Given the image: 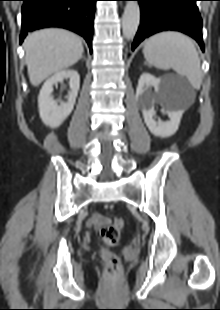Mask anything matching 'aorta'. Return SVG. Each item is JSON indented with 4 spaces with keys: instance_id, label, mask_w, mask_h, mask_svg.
Segmentation results:
<instances>
[{
    "instance_id": "1",
    "label": "aorta",
    "mask_w": 220,
    "mask_h": 310,
    "mask_svg": "<svg viewBox=\"0 0 220 310\" xmlns=\"http://www.w3.org/2000/svg\"><path fill=\"white\" fill-rule=\"evenodd\" d=\"M140 22V8L136 1H128L122 16L123 35L127 40H131L138 29Z\"/></svg>"
}]
</instances>
